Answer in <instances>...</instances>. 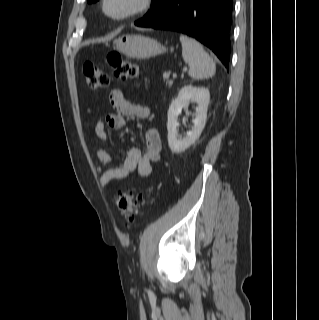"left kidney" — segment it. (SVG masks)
Returning a JSON list of instances; mask_svg holds the SVG:
<instances>
[{"mask_svg":"<svg viewBox=\"0 0 319 320\" xmlns=\"http://www.w3.org/2000/svg\"><path fill=\"white\" fill-rule=\"evenodd\" d=\"M209 100L210 93L208 88L186 85L180 89L167 114L168 145L173 153L185 151L200 137L206 123ZM190 101L197 103L195 119H193L194 126L192 130L187 132L184 139H178V116L183 108H186V113L189 114L187 108Z\"/></svg>","mask_w":319,"mask_h":320,"instance_id":"5707ae66","label":"left kidney"}]
</instances>
